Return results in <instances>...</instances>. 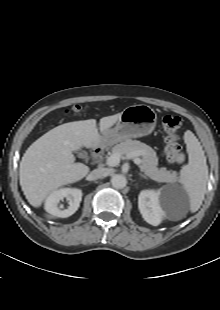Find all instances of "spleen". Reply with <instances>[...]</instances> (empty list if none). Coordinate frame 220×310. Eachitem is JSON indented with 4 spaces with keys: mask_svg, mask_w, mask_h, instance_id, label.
<instances>
[{
    "mask_svg": "<svg viewBox=\"0 0 220 310\" xmlns=\"http://www.w3.org/2000/svg\"><path fill=\"white\" fill-rule=\"evenodd\" d=\"M187 146L188 164L180 171V182L189 196L190 212L200 208L206 192L208 166L200 142L189 130L184 134Z\"/></svg>",
    "mask_w": 220,
    "mask_h": 310,
    "instance_id": "1",
    "label": "spleen"
}]
</instances>
